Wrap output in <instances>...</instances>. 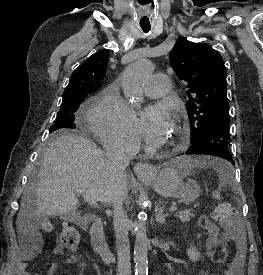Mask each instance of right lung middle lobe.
Listing matches in <instances>:
<instances>
[{
    "mask_svg": "<svg viewBox=\"0 0 263 275\" xmlns=\"http://www.w3.org/2000/svg\"><path fill=\"white\" fill-rule=\"evenodd\" d=\"M88 92H76L63 96L60 110L54 124L50 127V133L60 129H74L75 112L83 102Z\"/></svg>",
    "mask_w": 263,
    "mask_h": 275,
    "instance_id": "dd1d6c3e",
    "label": "right lung middle lobe"
}]
</instances>
